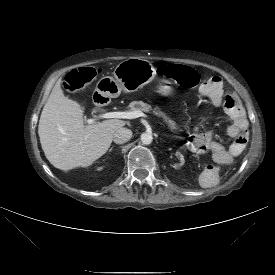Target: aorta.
<instances>
[{"label":"aorta","instance_id":"aorta-1","mask_svg":"<svg viewBox=\"0 0 275 275\" xmlns=\"http://www.w3.org/2000/svg\"><path fill=\"white\" fill-rule=\"evenodd\" d=\"M153 141V137L151 134L149 133H143L141 134V142L144 144V145H149L151 144Z\"/></svg>","mask_w":275,"mask_h":275}]
</instances>
